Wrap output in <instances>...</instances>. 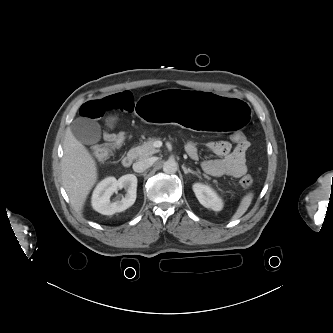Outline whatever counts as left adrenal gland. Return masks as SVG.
Segmentation results:
<instances>
[{
  "instance_id": "1",
  "label": "left adrenal gland",
  "mask_w": 333,
  "mask_h": 333,
  "mask_svg": "<svg viewBox=\"0 0 333 333\" xmlns=\"http://www.w3.org/2000/svg\"><path fill=\"white\" fill-rule=\"evenodd\" d=\"M182 169H183L185 175H187L188 173H191V174L199 176L198 172L193 171L190 168H186L185 166H182Z\"/></svg>"
}]
</instances>
